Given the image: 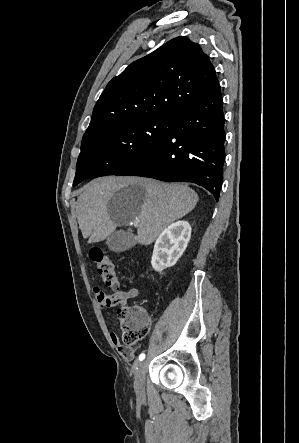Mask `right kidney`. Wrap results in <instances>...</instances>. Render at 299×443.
<instances>
[{"mask_svg": "<svg viewBox=\"0 0 299 443\" xmlns=\"http://www.w3.org/2000/svg\"><path fill=\"white\" fill-rule=\"evenodd\" d=\"M191 237V226L187 221H177L157 238L151 259L152 267L161 273L176 264L185 251Z\"/></svg>", "mask_w": 299, "mask_h": 443, "instance_id": "right-kidney-1", "label": "right kidney"}]
</instances>
